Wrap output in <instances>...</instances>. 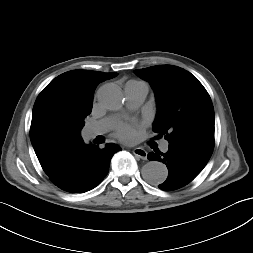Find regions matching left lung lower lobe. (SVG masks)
<instances>
[{
  "mask_svg": "<svg viewBox=\"0 0 253 253\" xmlns=\"http://www.w3.org/2000/svg\"><path fill=\"white\" fill-rule=\"evenodd\" d=\"M148 154L149 160L166 164L169 174L159 185L164 191L179 189L190 183L205 167L213 150L189 142H169L166 153L154 149Z\"/></svg>",
  "mask_w": 253,
  "mask_h": 253,
  "instance_id": "1",
  "label": "left lung lower lobe"
}]
</instances>
